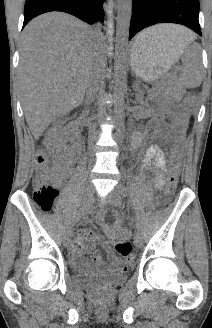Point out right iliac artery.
<instances>
[{"label":"right iliac artery","instance_id":"1","mask_svg":"<svg viewBox=\"0 0 212 328\" xmlns=\"http://www.w3.org/2000/svg\"><path fill=\"white\" fill-rule=\"evenodd\" d=\"M85 212V208H80L75 215L73 216V219L71 221V226H74L76 223H78V221H80V219L82 218V216L84 215Z\"/></svg>","mask_w":212,"mask_h":328}]
</instances>
